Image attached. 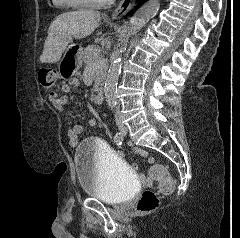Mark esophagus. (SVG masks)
<instances>
[{
    "instance_id": "1",
    "label": "esophagus",
    "mask_w": 240,
    "mask_h": 238,
    "mask_svg": "<svg viewBox=\"0 0 240 238\" xmlns=\"http://www.w3.org/2000/svg\"><path fill=\"white\" fill-rule=\"evenodd\" d=\"M134 6V0H120L117 7L113 11L112 19H120L125 16Z\"/></svg>"
}]
</instances>
